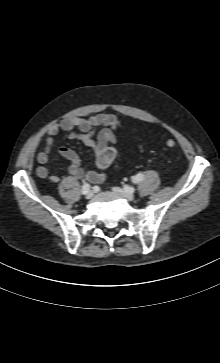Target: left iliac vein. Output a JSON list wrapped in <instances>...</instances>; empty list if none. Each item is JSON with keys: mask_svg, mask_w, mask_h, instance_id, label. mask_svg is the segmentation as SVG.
Instances as JSON below:
<instances>
[{"mask_svg": "<svg viewBox=\"0 0 220 363\" xmlns=\"http://www.w3.org/2000/svg\"><path fill=\"white\" fill-rule=\"evenodd\" d=\"M113 190L128 201H133L135 199V195L131 188L128 189L114 188Z\"/></svg>", "mask_w": 220, "mask_h": 363, "instance_id": "1", "label": "left iliac vein"}]
</instances>
